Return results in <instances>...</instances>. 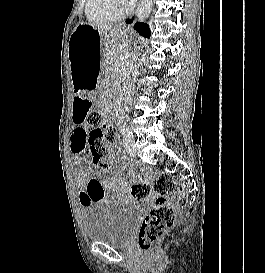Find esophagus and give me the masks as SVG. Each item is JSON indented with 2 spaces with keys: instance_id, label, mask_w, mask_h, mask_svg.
<instances>
[{
  "instance_id": "obj_1",
  "label": "esophagus",
  "mask_w": 265,
  "mask_h": 273,
  "mask_svg": "<svg viewBox=\"0 0 265 273\" xmlns=\"http://www.w3.org/2000/svg\"><path fill=\"white\" fill-rule=\"evenodd\" d=\"M134 21H135L134 17L133 16H129V17H127L126 19H124L122 21V25L130 27L131 25H133Z\"/></svg>"
}]
</instances>
